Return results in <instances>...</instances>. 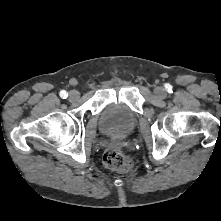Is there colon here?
I'll return each mask as SVG.
<instances>
[{"mask_svg":"<svg viewBox=\"0 0 221 221\" xmlns=\"http://www.w3.org/2000/svg\"><path fill=\"white\" fill-rule=\"evenodd\" d=\"M104 165L112 170L128 172L133 168V161L117 146L109 147L103 156Z\"/></svg>","mask_w":221,"mask_h":221,"instance_id":"colon-1","label":"colon"}]
</instances>
